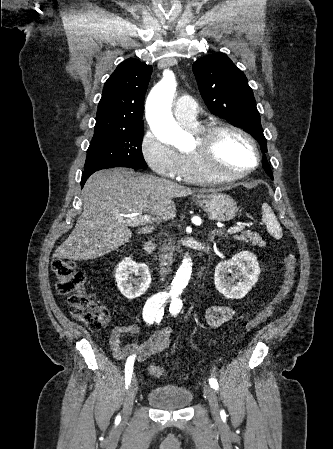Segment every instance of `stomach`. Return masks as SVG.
I'll return each instance as SVG.
<instances>
[{"mask_svg": "<svg viewBox=\"0 0 333 449\" xmlns=\"http://www.w3.org/2000/svg\"><path fill=\"white\" fill-rule=\"evenodd\" d=\"M196 202L211 219L220 222L232 220L238 212L235 200L219 192L200 195L197 197Z\"/></svg>", "mask_w": 333, "mask_h": 449, "instance_id": "0dacf381", "label": "stomach"}]
</instances>
